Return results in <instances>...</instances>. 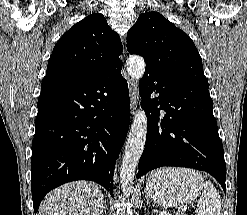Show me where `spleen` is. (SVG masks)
<instances>
[{
	"label": "spleen",
	"instance_id": "spleen-1",
	"mask_svg": "<svg viewBox=\"0 0 247 215\" xmlns=\"http://www.w3.org/2000/svg\"><path fill=\"white\" fill-rule=\"evenodd\" d=\"M204 192L197 204V215H221V198L216 188L209 182L203 183Z\"/></svg>",
	"mask_w": 247,
	"mask_h": 215
}]
</instances>
